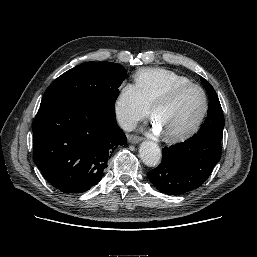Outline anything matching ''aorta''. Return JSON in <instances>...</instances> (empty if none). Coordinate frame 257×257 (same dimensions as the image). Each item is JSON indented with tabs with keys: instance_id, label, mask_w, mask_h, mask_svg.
<instances>
[{
	"instance_id": "1",
	"label": "aorta",
	"mask_w": 257,
	"mask_h": 257,
	"mask_svg": "<svg viewBox=\"0 0 257 257\" xmlns=\"http://www.w3.org/2000/svg\"><path fill=\"white\" fill-rule=\"evenodd\" d=\"M139 155L142 162L149 167L157 166L160 163L162 156L160 148L152 141H145L141 143Z\"/></svg>"
}]
</instances>
